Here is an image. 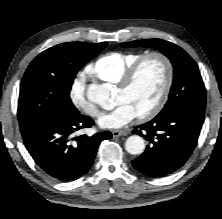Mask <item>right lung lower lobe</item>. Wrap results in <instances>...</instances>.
I'll list each match as a JSON object with an SVG mask.
<instances>
[{"mask_svg": "<svg viewBox=\"0 0 222 219\" xmlns=\"http://www.w3.org/2000/svg\"><path fill=\"white\" fill-rule=\"evenodd\" d=\"M92 125L94 121L78 110H64L22 137L42 170L57 180L73 181L88 172L99 144L112 137L109 131L72 137L75 131Z\"/></svg>", "mask_w": 222, "mask_h": 219, "instance_id": "right-lung-lower-lobe-1", "label": "right lung lower lobe"}]
</instances>
